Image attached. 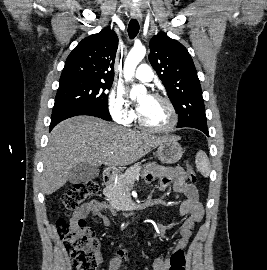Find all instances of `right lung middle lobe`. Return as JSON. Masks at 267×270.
Wrapping results in <instances>:
<instances>
[{"instance_id": "obj_1", "label": "right lung middle lobe", "mask_w": 267, "mask_h": 270, "mask_svg": "<svg viewBox=\"0 0 267 270\" xmlns=\"http://www.w3.org/2000/svg\"><path fill=\"white\" fill-rule=\"evenodd\" d=\"M113 81L68 78L60 79L54 106L79 109H108V94Z\"/></svg>"}]
</instances>
